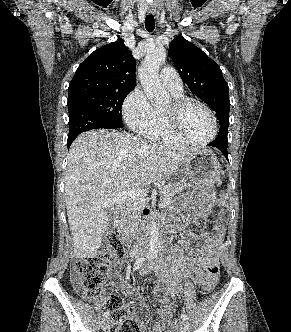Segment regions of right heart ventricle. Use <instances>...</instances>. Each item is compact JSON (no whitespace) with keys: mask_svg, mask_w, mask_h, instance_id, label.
Listing matches in <instances>:
<instances>
[{"mask_svg":"<svg viewBox=\"0 0 291 332\" xmlns=\"http://www.w3.org/2000/svg\"><path fill=\"white\" fill-rule=\"evenodd\" d=\"M175 97H182V94H175ZM155 123L152 127L142 132L143 136L149 140L165 144H185L183 139L176 136L169 128L164 109L154 107Z\"/></svg>","mask_w":291,"mask_h":332,"instance_id":"right-heart-ventricle-1","label":"right heart ventricle"}]
</instances>
